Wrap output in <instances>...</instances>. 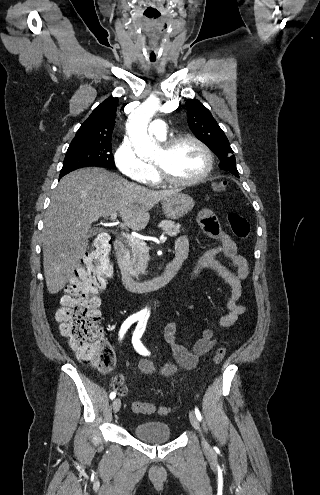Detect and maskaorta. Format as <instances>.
Wrapping results in <instances>:
<instances>
[{
    "label": "aorta",
    "mask_w": 320,
    "mask_h": 495,
    "mask_svg": "<svg viewBox=\"0 0 320 495\" xmlns=\"http://www.w3.org/2000/svg\"><path fill=\"white\" fill-rule=\"evenodd\" d=\"M160 108V101L150 98L128 117L127 133L135 152L140 157H153L159 152L158 145L148 135L147 127Z\"/></svg>",
    "instance_id": "762f6f07"
}]
</instances>
